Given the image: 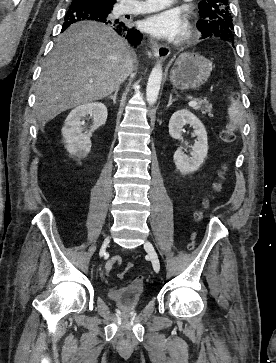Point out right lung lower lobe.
Masks as SVG:
<instances>
[{
    "label": "right lung lower lobe",
    "instance_id": "right-lung-lower-lobe-1",
    "mask_svg": "<svg viewBox=\"0 0 276 363\" xmlns=\"http://www.w3.org/2000/svg\"><path fill=\"white\" fill-rule=\"evenodd\" d=\"M82 20H92L110 25L119 35L126 38L133 46L140 44L143 38V35L136 29L128 27L123 22H113L112 19L104 17L100 11L91 5L70 7L65 15V22L63 24L62 31H64L70 24Z\"/></svg>",
    "mask_w": 276,
    "mask_h": 363
}]
</instances>
